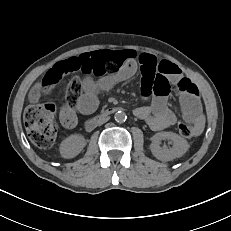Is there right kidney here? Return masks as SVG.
Returning <instances> with one entry per match:
<instances>
[{
  "mask_svg": "<svg viewBox=\"0 0 231 231\" xmlns=\"http://www.w3.org/2000/svg\"><path fill=\"white\" fill-rule=\"evenodd\" d=\"M85 145V138L81 134L70 135L61 143V156L63 158H73L82 151Z\"/></svg>",
  "mask_w": 231,
  "mask_h": 231,
  "instance_id": "ca27d5eb",
  "label": "right kidney"
}]
</instances>
